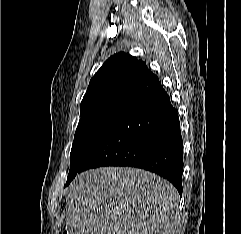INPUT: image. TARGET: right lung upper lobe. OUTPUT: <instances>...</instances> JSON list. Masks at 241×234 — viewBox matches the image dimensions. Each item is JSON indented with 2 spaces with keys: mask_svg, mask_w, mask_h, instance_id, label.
Masks as SVG:
<instances>
[{
  "mask_svg": "<svg viewBox=\"0 0 241 234\" xmlns=\"http://www.w3.org/2000/svg\"><path fill=\"white\" fill-rule=\"evenodd\" d=\"M143 61L123 52L111 56L91 79L81 109L111 103L139 104L161 88Z\"/></svg>",
  "mask_w": 241,
  "mask_h": 234,
  "instance_id": "1",
  "label": "right lung upper lobe"
}]
</instances>
